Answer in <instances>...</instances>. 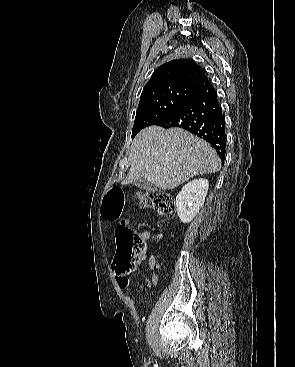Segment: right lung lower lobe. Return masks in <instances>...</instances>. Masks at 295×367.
<instances>
[{"mask_svg": "<svg viewBox=\"0 0 295 367\" xmlns=\"http://www.w3.org/2000/svg\"><path fill=\"white\" fill-rule=\"evenodd\" d=\"M156 125L164 128L180 127L204 139L217 151L224 163L225 121L217 93L211 83L196 90Z\"/></svg>", "mask_w": 295, "mask_h": 367, "instance_id": "right-lung-lower-lobe-1", "label": "right lung lower lobe"}]
</instances>
